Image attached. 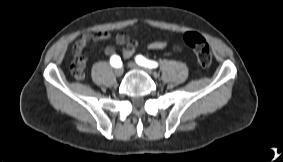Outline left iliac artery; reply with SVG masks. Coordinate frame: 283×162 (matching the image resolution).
I'll return each mask as SVG.
<instances>
[{
  "instance_id": "1",
  "label": "left iliac artery",
  "mask_w": 283,
  "mask_h": 162,
  "mask_svg": "<svg viewBox=\"0 0 283 162\" xmlns=\"http://www.w3.org/2000/svg\"><path fill=\"white\" fill-rule=\"evenodd\" d=\"M135 60L139 65L145 66V67H148V68H156L158 66L157 62L148 60L141 55L136 56Z\"/></svg>"
}]
</instances>
